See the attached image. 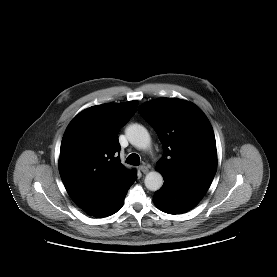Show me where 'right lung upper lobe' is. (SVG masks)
<instances>
[{
  "instance_id": "cb5924a9",
  "label": "right lung upper lobe",
  "mask_w": 277,
  "mask_h": 277,
  "mask_svg": "<svg viewBox=\"0 0 277 277\" xmlns=\"http://www.w3.org/2000/svg\"><path fill=\"white\" fill-rule=\"evenodd\" d=\"M137 106V101L92 106L68 125L61 142L59 172L68 194L83 210L99 203L132 173L117 156V135Z\"/></svg>"
}]
</instances>
